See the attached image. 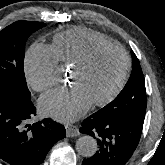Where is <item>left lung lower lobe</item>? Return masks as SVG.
<instances>
[{"label":"left lung lower lobe","instance_id":"left-lung-lower-lobe-1","mask_svg":"<svg viewBox=\"0 0 165 165\" xmlns=\"http://www.w3.org/2000/svg\"><path fill=\"white\" fill-rule=\"evenodd\" d=\"M143 124L101 119L93 115L82 122L81 133L97 140L98 151L82 165H124L136 149Z\"/></svg>","mask_w":165,"mask_h":165}]
</instances>
